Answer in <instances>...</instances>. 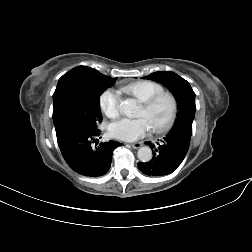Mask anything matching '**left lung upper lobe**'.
<instances>
[{"label":"left lung upper lobe","instance_id":"left-lung-upper-lobe-1","mask_svg":"<svg viewBox=\"0 0 252 252\" xmlns=\"http://www.w3.org/2000/svg\"><path fill=\"white\" fill-rule=\"evenodd\" d=\"M144 78L162 83L175 96L179 111L174 126L182 121L193 122L196 110L195 93L188 81L170 71L155 72Z\"/></svg>","mask_w":252,"mask_h":252}]
</instances>
